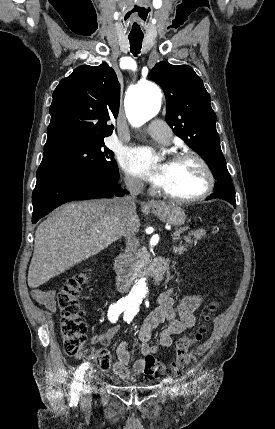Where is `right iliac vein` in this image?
<instances>
[{
  "mask_svg": "<svg viewBox=\"0 0 275 429\" xmlns=\"http://www.w3.org/2000/svg\"><path fill=\"white\" fill-rule=\"evenodd\" d=\"M82 388H83L82 389L83 399H84V401H88L89 395L87 394V391L90 390L88 378L83 381V387Z\"/></svg>",
  "mask_w": 275,
  "mask_h": 429,
  "instance_id": "63e3f726",
  "label": "right iliac vein"
}]
</instances>
